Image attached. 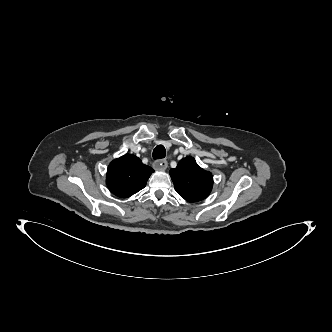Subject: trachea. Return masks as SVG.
<instances>
[{
    "mask_svg": "<svg viewBox=\"0 0 332 332\" xmlns=\"http://www.w3.org/2000/svg\"><path fill=\"white\" fill-rule=\"evenodd\" d=\"M166 155V150L165 147L163 145H158L155 147L154 151H153V158L154 159H162L164 158Z\"/></svg>",
    "mask_w": 332,
    "mask_h": 332,
    "instance_id": "1",
    "label": "trachea"
}]
</instances>
